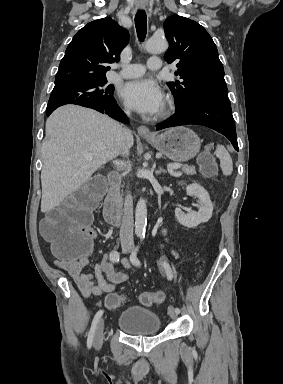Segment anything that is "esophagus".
<instances>
[{
  "label": "esophagus",
  "mask_w": 283,
  "mask_h": 384,
  "mask_svg": "<svg viewBox=\"0 0 283 384\" xmlns=\"http://www.w3.org/2000/svg\"><path fill=\"white\" fill-rule=\"evenodd\" d=\"M137 131H138V134L143 137H151V138L155 137V134L153 132H150L148 127H146L145 125H140Z\"/></svg>",
  "instance_id": "34e87169"
}]
</instances>
